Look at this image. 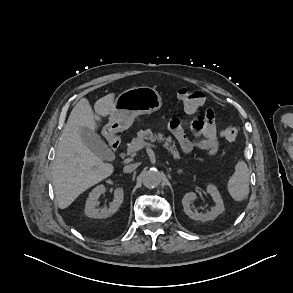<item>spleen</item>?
<instances>
[{
  "instance_id": "obj_1",
  "label": "spleen",
  "mask_w": 293,
  "mask_h": 293,
  "mask_svg": "<svg viewBox=\"0 0 293 293\" xmlns=\"http://www.w3.org/2000/svg\"><path fill=\"white\" fill-rule=\"evenodd\" d=\"M228 192L235 201H243L249 194V171L247 164L240 160L228 181Z\"/></svg>"
}]
</instances>
